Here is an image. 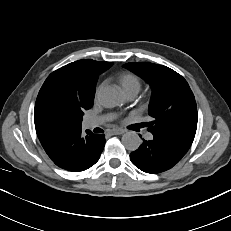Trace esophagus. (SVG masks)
I'll return each mask as SVG.
<instances>
[{"instance_id": "obj_1", "label": "esophagus", "mask_w": 231, "mask_h": 231, "mask_svg": "<svg viewBox=\"0 0 231 231\" xmlns=\"http://www.w3.org/2000/svg\"><path fill=\"white\" fill-rule=\"evenodd\" d=\"M124 133V130L122 129H115L109 132L110 135H121Z\"/></svg>"}]
</instances>
